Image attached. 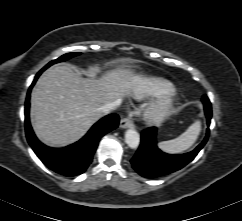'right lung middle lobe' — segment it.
Returning <instances> with one entry per match:
<instances>
[{"label": "right lung middle lobe", "instance_id": "obj_1", "mask_svg": "<svg viewBox=\"0 0 242 221\" xmlns=\"http://www.w3.org/2000/svg\"><path fill=\"white\" fill-rule=\"evenodd\" d=\"M79 54H80V53H67V54H64V55H62L61 57H59L58 59L53 60V61H51L49 64H47V65L43 68V70H45L46 68H48L49 66H51V65L54 64V63H58V62L66 61L67 59L72 58V57H74V56H77V55H79Z\"/></svg>", "mask_w": 242, "mask_h": 221}]
</instances>
